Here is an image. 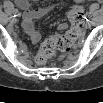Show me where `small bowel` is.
Instances as JSON below:
<instances>
[{
  "label": "small bowel",
  "instance_id": "1",
  "mask_svg": "<svg viewBox=\"0 0 103 103\" xmlns=\"http://www.w3.org/2000/svg\"><path fill=\"white\" fill-rule=\"evenodd\" d=\"M8 4V3H7ZM6 4V5H7ZM17 5L23 10L22 19H23V31L29 37L33 43H37L41 39L40 31L35 27L34 20L41 18L48 13H50L55 5H49L42 8H32L30 3L24 0L17 2ZM97 4H94L93 7L96 8ZM67 27L66 23L59 24V29L63 30Z\"/></svg>",
  "mask_w": 103,
  "mask_h": 103
}]
</instances>
